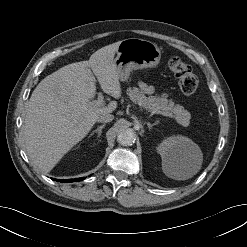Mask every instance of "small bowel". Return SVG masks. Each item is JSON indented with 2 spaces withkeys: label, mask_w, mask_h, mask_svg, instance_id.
Segmentation results:
<instances>
[{
  "label": "small bowel",
  "mask_w": 247,
  "mask_h": 247,
  "mask_svg": "<svg viewBox=\"0 0 247 247\" xmlns=\"http://www.w3.org/2000/svg\"><path fill=\"white\" fill-rule=\"evenodd\" d=\"M140 87H141V89H142L144 92H146V93H148V94L153 93V88H152L151 86L145 84V83H141V84H140Z\"/></svg>",
  "instance_id": "obj_1"
}]
</instances>
